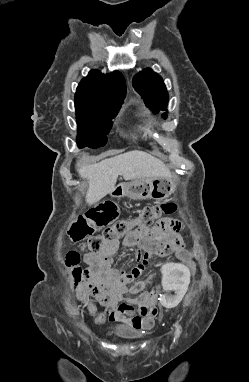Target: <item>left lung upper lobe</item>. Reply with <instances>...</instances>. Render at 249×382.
Returning <instances> with one entry per match:
<instances>
[{
  "instance_id": "left-lung-upper-lobe-1",
  "label": "left lung upper lobe",
  "mask_w": 249,
  "mask_h": 382,
  "mask_svg": "<svg viewBox=\"0 0 249 382\" xmlns=\"http://www.w3.org/2000/svg\"><path fill=\"white\" fill-rule=\"evenodd\" d=\"M133 87L154 111L166 110L168 94L162 78L151 69L139 72L132 82ZM163 117H166L163 114Z\"/></svg>"
}]
</instances>
